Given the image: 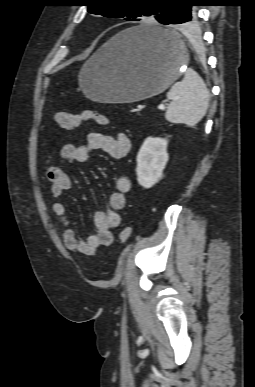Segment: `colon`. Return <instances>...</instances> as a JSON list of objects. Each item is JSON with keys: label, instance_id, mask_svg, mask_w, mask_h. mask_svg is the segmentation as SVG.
<instances>
[{"label": "colon", "instance_id": "colon-1", "mask_svg": "<svg viewBox=\"0 0 255 387\" xmlns=\"http://www.w3.org/2000/svg\"><path fill=\"white\" fill-rule=\"evenodd\" d=\"M94 121L99 125L107 126L110 124V119L104 114L95 110H84L80 113H69L66 111H57L54 114V121L63 129H74L80 126L85 121ZM131 236V228L125 227L119 234L121 242L125 243Z\"/></svg>", "mask_w": 255, "mask_h": 387}]
</instances>
